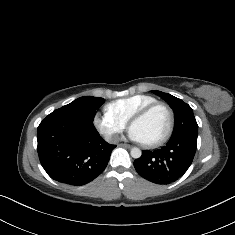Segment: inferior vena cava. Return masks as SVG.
Wrapping results in <instances>:
<instances>
[{"mask_svg":"<svg viewBox=\"0 0 235 235\" xmlns=\"http://www.w3.org/2000/svg\"><path fill=\"white\" fill-rule=\"evenodd\" d=\"M107 141L112 144H116L119 142V136L118 135H113L108 137Z\"/></svg>","mask_w":235,"mask_h":235,"instance_id":"602c4592","label":"inferior vena cava"}]
</instances>
